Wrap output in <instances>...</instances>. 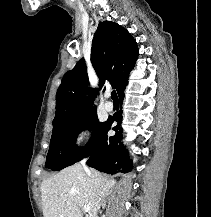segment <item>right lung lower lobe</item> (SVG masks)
I'll list each match as a JSON object with an SVG mask.
<instances>
[{
  "mask_svg": "<svg viewBox=\"0 0 211 217\" xmlns=\"http://www.w3.org/2000/svg\"><path fill=\"white\" fill-rule=\"evenodd\" d=\"M119 97L120 102H122L124 90L119 94ZM120 118L121 111L106 121L101 140L88 155V166L108 174L127 173L132 170V161L128 159V152L121 142ZM114 122H118V124L111 127ZM110 129L116 133L112 137H107V132Z\"/></svg>",
  "mask_w": 211,
  "mask_h": 217,
  "instance_id": "right-lung-lower-lobe-1",
  "label": "right lung lower lobe"
}]
</instances>
